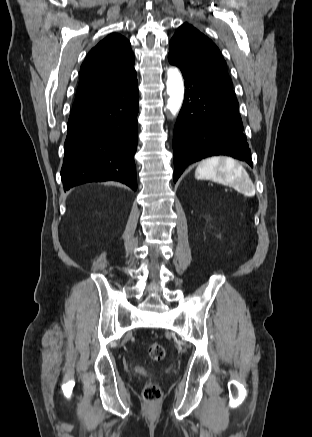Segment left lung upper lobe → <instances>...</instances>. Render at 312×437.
<instances>
[{
	"label": "left lung upper lobe",
	"instance_id": "1",
	"mask_svg": "<svg viewBox=\"0 0 312 437\" xmlns=\"http://www.w3.org/2000/svg\"><path fill=\"white\" fill-rule=\"evenodd\" d=\"M169 46L168 57L182 69L236 97L226 62L208 37L184 23L178 28Z\"/></svg>",
	"mask_w": 312,
	"mask_h": 437
}]
</instances>
